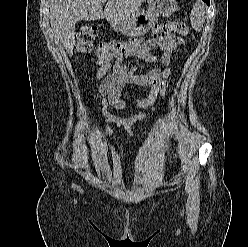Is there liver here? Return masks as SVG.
Returning <instances> with one entry per match:
<instances>
[{"label": "liver", "mask_w": 248, "mask_h": 247, "mask_svg": "<svg viewBox=\"0 0 248 247\" xmlns=\"http://www.w3.org/2000/svg\"><path fill=\"white\" fill-rule=\"evenodd\" d=\"M145 0H108L103 11L102 0H49L50 22L67 52L72 55L75 46V24L79 20H100L111 23L130 19Z\"/></svg>", "instance_id": "6515ba94"}]
</instances>
